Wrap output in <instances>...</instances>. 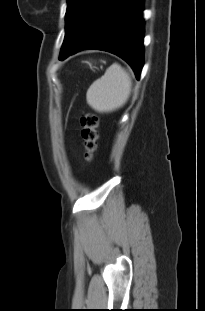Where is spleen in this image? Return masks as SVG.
Returning a JSON list of instances; mask_svg holds the SVG:
<instances>
[{"label": "spleen", "instance_id": "spleen-1", "mask_svg": "<svg viewBox=\"0 0 205 311\" xmlns=\"http://www.w3.org/2000/svg\"><path fill=\"white\" fill-rule=\"evenodd\" d=\"M131 89L126 71L113 63L105 74L89 87L86 99L94 110L104 113L114 111L125 104Z\"/></svg>", "mask_w": 205, "mask_h": 311}]
</instances>
